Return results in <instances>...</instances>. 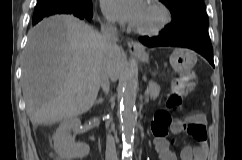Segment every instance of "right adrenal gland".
<instances>
[{
    "mask_svg": "<svg viewBox=\"0 0 242 160\" xmlns=\"http://www.w3.org/2000/svg\"><path fill=\"white\" fill-rule=\"evenodd\" d=\"M103 101H104V98L101 97L95 101V104H101Z\"/></svg>",
    "mask_w": 242,
    "mask_h": 160,
    "instance_id": "right-adrenal-gland-1",
    "label": "right adrenal gland"
}]
</instances>
